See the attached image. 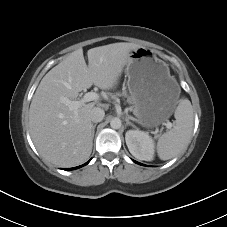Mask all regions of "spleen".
<instances>
[{"label":"spleen","mask_w":227,"mask_h":227,"mask_svg":"<svg viewBox=\"0 0 227 227\" xmlns=\"http://www.w3.org/2000/svg\"><path fill=\"white\" fill-rule=\"evenodd\" d=\"M175 126L164 133L157 142V153L161 160L177 156L187 146L193 130V108L188 99H180L175 110Z\"/></svg>","instance_id":"3e777b00"}]
</instances>
